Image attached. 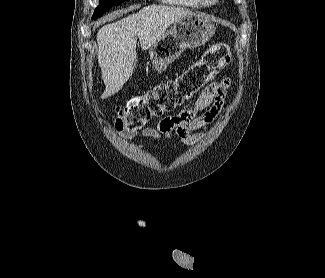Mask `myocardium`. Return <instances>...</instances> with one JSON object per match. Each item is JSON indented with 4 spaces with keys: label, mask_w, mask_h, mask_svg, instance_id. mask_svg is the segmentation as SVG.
Masks as SVG:
<instances>
[{
    "label": "myocardium",
    "mask_w": 325,
    "mask_h": 278,
    "mask_svg": "<svg viewBox=\"0 0 325 278\" xmlns=\"http://www.w3.org/2000/svg\"><path fill=\"white\" fill-rule=\"evenodd\" d=\"M218 0H204L207 5L215 4Z\"/></svg>",
    "instance_id": "myocardium-1"
}]
</instances>
